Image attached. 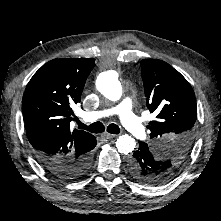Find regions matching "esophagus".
I'll return each instance as SVG.
<instances>
[{"label": "esophagus", "instance_id": "obj_1", "mask_svg": "<svg viewBox=\"0 0 221 221\" xmlns=\"http://www.w3.org/2000/svg\"><path fill=\"white\" fill-rule=\"evenodd\" d=\"M104 136L107 139H112V138H116L118 135L117 134L104 133Z\"/></svg>", "mask_w": 221, "mask_h": 221}]
</instances>
